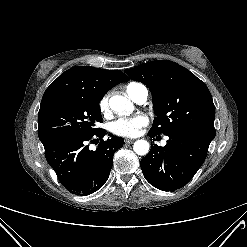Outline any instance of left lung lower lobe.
Returning <instances> with one entry per match:
<instances>
[{"label": "left lung lower lobe", "mask_w": 247, "mask_h": 247, "mask_svg": "<svg viewBox=\"0 0 247 247\" xmlns=\"http://www.w3.org/2000/svg\"><path fill=\"white\" fill-rule=\"evenodd\" d=\"M167 136L166 146H151L140 165L151 185L163 191H175L185 186L201 167L211 140L186 131H173Z\"/></svg>", "instance_id": "1"}]
</instances>
